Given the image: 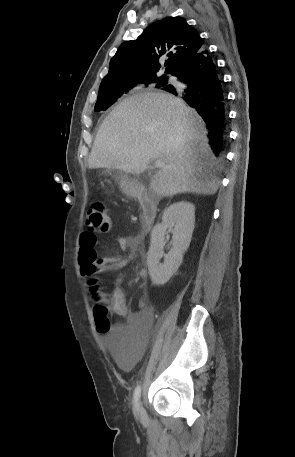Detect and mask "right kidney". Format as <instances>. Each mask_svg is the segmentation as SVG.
<instances>
[{"label":"right kidney","mask_w":295,"mask_h":457,"mask_svg":"<svg viewBox=\"0 0 295 457\" xmlns=\"http://www.w3.org/2000/svg\"><path fill=\"white\" fill-rule=\"evenodd\" d=\"M195 223V207L187 201L170 205L162 215V222L155 225L151 233V243L147 254L149 275L155 285H164L175 274L187 251ZM171 230L172 248L163 254L166 230ZM164 255V262H159Z\"/></svg>","instance_id":"obj_1"}]
</instances>
